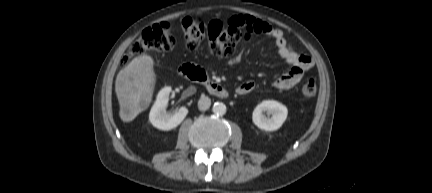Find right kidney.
Here are the masks:
<instances>
[{
  "mask_svg": "<svg viewBox=\"0 0 432 193\" xmlns=\"http://www.w3.org/2000/svg\"><path fill=\"white\" fill-rule=\"evenodd\" d=\"M171 87L163 88L157 95V99L151 108L149 120L152 125L160 130H171L176 128L188 114L186 107H181L174 114L166 113Z\"/></svg>",
  "mask_w": 432,
  "mask_h": 193,
  "instance_id": "obj_1",
  "label": "right kidney"
}]
</instances>
